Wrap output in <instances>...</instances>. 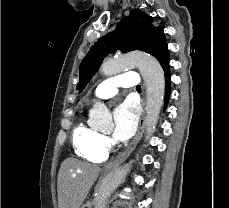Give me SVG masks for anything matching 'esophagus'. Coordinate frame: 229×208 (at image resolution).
<instances>
[{
    "label": "esophagus",
    "mask_w": 229,
    "mask_h": 208,
    "mask_svg": "<svg viewBox=\"0 0 229 208\" xmlns=\"http://www.w3.org/2000/svg\"><path fill=\"white\" fill-rule=\"evenodd\" d=\"M142 106H143V113L139 120V125H138V130L136 132V135L134 136L133 140L128 145V147L125 149V151H123V153L119 157H117L113 161H110L103 167V172L109 173L111 171H114L119 165H121V163H123L128 158V156L132 153V151L137 146V143L142 138V135L145 129V124H146V101L145 99L142 100Z\"/></svg>",
    "instance_id": "esophagus-1"
}]
</instances>
